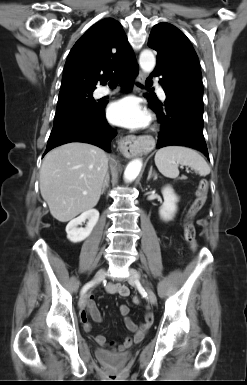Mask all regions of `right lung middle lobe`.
<instances>
[{
	"label": "right lung middle lobe",
	"mask_w": 247,
	"mask_h": 385,
	"mask_svg": "<svg viewBox=\"0 0 247 385\" xmlns=\"http://www.w3.org/2000/svg\"><path fill=\"white\" fill-rule=\"evenodd\" d=\"M91 89H69L60 91L55 116L80 109L93 108L97 105Z\"/></svg>",
	"instance_id": "dd1d6c3e"
}]
</instances>
